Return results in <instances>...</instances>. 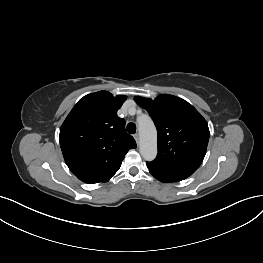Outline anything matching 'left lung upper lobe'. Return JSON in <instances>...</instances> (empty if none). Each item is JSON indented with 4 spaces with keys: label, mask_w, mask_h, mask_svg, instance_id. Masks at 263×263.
Masks as SVG:
<instances>
[{
    "label": "left lung upper lobe",
    "mask_w": 263,
    "mask_h": 263,
    "mask_svg": "<svg viewBox=\"0 0 263 263\" xmlns=\"http://www.w3.org/2000/svg\"><path fill=\"white\" fill-rule=\"evenodd\" d=\"M134 100L148 111L157 128L158 154L147 162L149 171L172 181L192 175L209 141L205 119L191 104L173 95H159L155 100L135 96Z\"/></svg>",
    "instance_id": "5c2ea615"
}]
</instances>
